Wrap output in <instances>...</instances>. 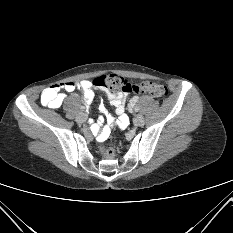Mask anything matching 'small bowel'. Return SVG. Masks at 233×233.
<instances>
[{
  "label": "small bowel",
  "mask_w": 233,
  "mask_h": 233,
  "mask_svg": "<svg viewBox=\"0 0 233 233\" xmlns=\"http://www.w3.org/2000/svg\"><path fill=\"white\" fill-rule=\"evenodd\" d=\"M77 88L82 91L86 106L93 103L95 97L94 89H96L103 92V96L108 97L111 105L115 108V115H112L103 104L99 105L100 116L98 117L97 123L91 127L92 133L99 140H105L114 125L121 130L128 126L129 118L125 112V93L111 91L108 84L104 83L103 76H98L90 80H81L79 82H65L52 85L42 91L40 102L43 106L58 109L65 99L64 92H73ZM134 102H136V97H131L128 104V112H133Z\"/></svg>",
  "instance_id": "c3829d8e"
}]
</instances>
